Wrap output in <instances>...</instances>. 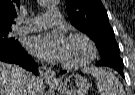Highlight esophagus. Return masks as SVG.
Here are the masks:
<instances>
[{
  "label": "esophagus",
  "mask_w": 135,
  "mask_h": 95,
  "mask_svg": "<svg viewBox=\"0 0 135 95\" xmlns=\"http://www.w3.org/2000/svg\"><path fill=\"white\" fill-rule=\"evenodd\" d=\"M41 76L50 83L56 82V74L55 71L48 66H41L39 68Z\"/></svg>",
  "instance_id": "obj_1"
}]
</instances>
